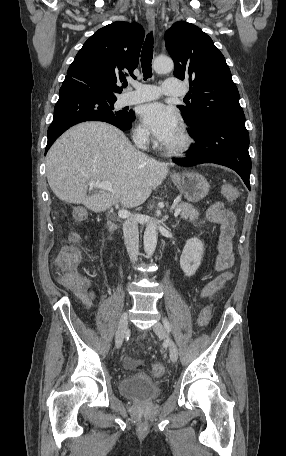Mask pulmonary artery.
I'll use <instances>...</instances> for the list:
<instances>
[{"mask_svg": "<svg viewBox=\"0 0 286 456\" xmlns=\"http://www.w3.org/2000/svg\"><path fill=\"white\" fill-rule=\"evenodd\" d=\"M135 90L124 96V104H136L159 98L162 94L168 96H180L184 94L180 80L176 77H169L165 80L161 88L150 85L133 83Z\"/></svg>", "mask_w": 286, "mask_h": 456, "instance_id": "pulmonary-artery-1", "label": "pulmonary artery"}]
</instances>
